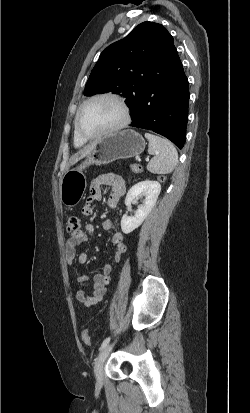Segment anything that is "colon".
I'll return each mask as SVG.
<instances>
[{
  "label": "colon",
  "mask_w": 250,
  "mask_h": 413,
  "mask_svg": "<svg viewBox=\"0 0 250 413\" xmlns=\"http://www.w3.org/2000/svg\"><path fill=\"white\" fill-rule=\"evenodd\" d=\"M131 169L135 173H142L144 171L143 167L139 164H132ZM156 180L158 183H165L167 177L165 174H158ZM66 228L71 235L74 229H81V217L77 214L71 215L67 220ZM82 340L87 345L92 344V339L87 329L82 332Z\"/></svg>",
  "instance_id": "obj_1"
}]
</instances>
